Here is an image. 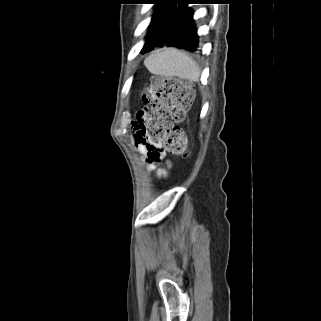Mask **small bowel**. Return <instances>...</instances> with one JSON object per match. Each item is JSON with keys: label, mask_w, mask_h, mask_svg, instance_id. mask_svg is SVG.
Instances as JSON below:
<instances>
[{"label": "small bowel", "mask_w": 321, "mask_h": 321, "mask_svg": "<svg viewBox=\"0 0 321 321\" xmlns=\"http://www.w3.org/2000/svg\"><path fill=\"white\" fill-rule=\"evenodd\" d=\"M149 115L150 114L146 111L137 112L135 120L133 121L134 142L138 151L146 156L148 169L151 171H156L157 177H165L166 170L163 168H157L156 166V163L159 162L164 155H162L159 159H155L151 156L154 143L147 124ZM167 166H171V163L169 161H167Z\"/></svg>", "instance_id": "1"}]
</instances>
